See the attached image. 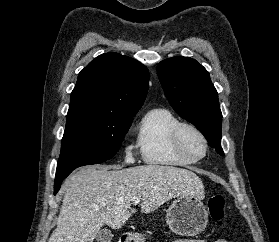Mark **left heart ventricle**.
<instances>
[{
  "instance_id": "b2bd125f",
  "label": "left heart ventricle",
  "mask_w": 279,
  "mask_h": 242,
  "mask_svg": "<svg viewBox=\"0 0 279 242\" xmlns=\"http://www.w3.org/2000/svg\"><path fill=\"white\" fill-rule=\"evenodd\" d=\"M185 144L186 147L188 148V150L196 155V156H200L203 153V144L201 142V140L194 135L191 132H186L185 133Z\"/></svg>"
}]
</instances>
